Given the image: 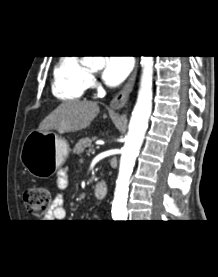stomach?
<instances>
[{
    "label": "stomach",
    "instance_id": "0dacf381",
    "mask_svg": "<svg viewBox=\"0 0 218 277\" xmlns=\"http://www.w3.org/2000/svg\"><path fill=\"white\" fill-rule=\"evenodd\" d=\"M68 154L67 141L55 132L33 131L23 142L20 161L32 176L47 178L65 162Z\"/></svg>",
    "mask_w": 218,
    "mask_h": 277
}]
</instances>
